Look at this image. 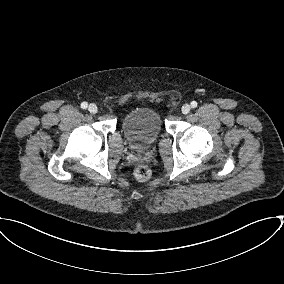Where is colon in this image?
Returning <instances> with one entry per match:
<instances>
[{
	"label": "colon",
	"instance_id": "1",
	"mask_svg": "<svg viewBox=\"0 0 284 284\" xmlns=\"http://www.w3.org/2000/svg\"><path fill=\"white\" fill-rule=\"evenodd\" d=\"M151 175L150 169L145 165H138L134 169V176L140 181H145L149 179Z\"/></svg>",
	"mask_w": 284,
	"mask_h": 284
}]
</instances>
